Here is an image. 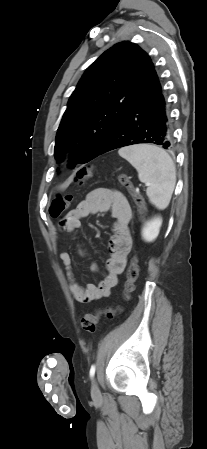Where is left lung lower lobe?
I'll return each mask as SVG.
<instances>
[{
  "label": "left lung lower lobe",
  "mask_w": 207,
  "mask_h": 449,
  "mask_svg": "<svg viewBox=\"0 0 207 449\" xmlns=\"http://www.w3.org/2000/svg\"><path fill=\"white\" fill-rule=\"evenodd\" d=\"M172 128L169 109L157 73L149 85L112 132L95 157L116 148L152 143L171 149Z\"/></svg>",
  "instance_id": "left-lung-lower-lobe-1"
}]
</instances>
